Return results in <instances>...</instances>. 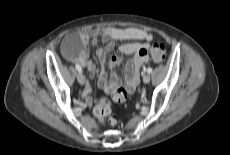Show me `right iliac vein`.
Returning a JSON list of instances; mask_svg holds the SVG:
<instances>
[{
	"label": "right iliac vein",
	"mask_w": 230,
	"mask_h": 155,
	"mask_svg": "<svg viewBox=\"0 0 230 155\" xmlns=\"http://www.w3.org/2000/svg\"><path fill=\"white\" fill-rule=\"evenodd\" d=\"M77 80H78L79 84H81V85H83L85 83V77L81 72H79L77 74Z\"/></svg>",
	"instance_id": "63e3f726"
}]
</instances>
